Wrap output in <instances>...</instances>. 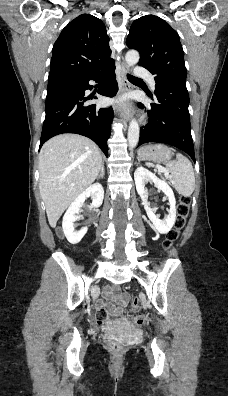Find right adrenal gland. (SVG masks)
<instances>
[{
  "instance_id": "obj_1",
  "label": "right adrenal gland",
  "mask_w": 228,
  "mask_h": 396,
  "mask_svg": "<svg viewBox=\"0 0 228 396\" xmlns=\"http://www.w3.org/2000/svg\"><path fill=\"white\" fill-rule=\"evenodd\" d=\"M104 175H105V168H104V164H102L101 171H100V174L97 177V180H99L100 178H103Z\"/></svg>"
}]
</instances>
